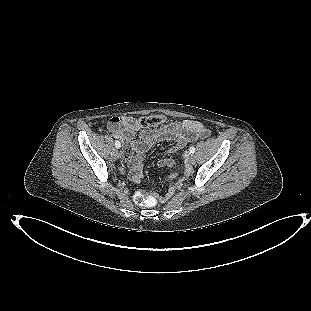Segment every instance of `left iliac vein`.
<instances>
[{
    "mask_svg": "<svg viewBox=\"0 0 311 311\" xmlns=\"http://www.w3.org/2000/svg\"><path fill=\"white\" fill-rule=\"evenodd\" d=\"M195 161H196L195 156H191L190 163L191 164H195Z\"/></svg>",
    "mask_w": 311,
    "mask_h": 311,
    "instance_id": "4c4485c4",
    "label": "left iliac vein"
}]
</instances>
